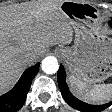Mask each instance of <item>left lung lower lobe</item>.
I'll return each instance as SVG.
<instances>
[{"label": "left lung lower lobe", "instance_id": "1", "mask_svg": "<svg viewBox=\"0 0 112 112\" xmlns=\"http://www.w3.org/2000/svg\"><path fill=\"white\" fill-rule=\"evenodd\" d=\"M112 26V22L109 23ZM58 77V84L59 88L62 94V97L64 100L73 108L81 111V112H100L104 110L105 108L109 107L112 104V101L103 104V105H90L85 102L80 101L79 99L75 98L71 92L69 91V88L66 83V73L64 71L63 66H60V69L57 74Z\"/></svg>", "mask_w": 112, "mask_h": 112}]
</instances>
